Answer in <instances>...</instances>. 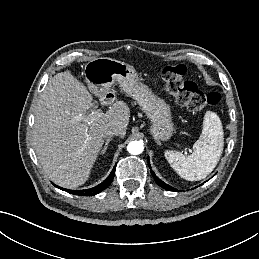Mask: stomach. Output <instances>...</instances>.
<instances>
[{
	"label": "stomach",
	"instance_id": "obj_1",
	"mask_svg": "<svg viewBox=\"0 0 259 259\" xmlns=\"http://www.w3.org/2000/svg\"><path fill=\"white\" fill-rule=\"evenodd\" d=\"M84 75L89 89L95 93L107 91L117 82L149 118L153 138L160 142L172 137L174 125L170 106L141 82L133 66L112 58H95L85 65Z\"/></svg>",
	"mask_w": 259,
	"mask_h": 259
}]
</instances>
